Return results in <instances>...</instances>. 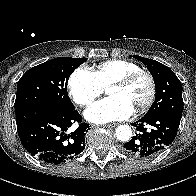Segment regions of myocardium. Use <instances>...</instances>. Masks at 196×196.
<instances>
[{
  "mask_svg": "<svg viewBox=\"0 0 196 196\" xmlns=\"http://www.w3.org/2000/svg\"><path fill=\"white\" fill-rule=\"evenodd\" d=\"M140 77H145L148 80L149 83V94L146 98V100L140 104L138 107H136L137 112H142L147 110L154 102L156 98L157 93V83L154 75L146 70H137L132 73H129L125 76H122L116 80H114L109 87L111 86H120V87H127L130 84H132L134 81H136Z\"/></svg>",
  "mask_w": 196,
  "mask_h": 196,
  "instance_id": "myocardium-1",
  "label": "myocardium"
}]
</instances>
